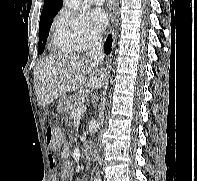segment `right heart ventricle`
I'll return each mask as SVG.
<instances>
[{"label":"right heart ventricle","mask_w":197,"mask_h":181,"mask_svg":"<svg viewBox=\"0 0 197 181\" xmlns=\"http://www.w3.org/2000/svg\"><path fill=\"white\" fill-rule=\"evenodd\" d=\"M52 49L58 53H72L73 49L70 46L67 38L54 26L52 37Z\"/></svg>","instance_id":"right-heart-ventricle-1"}]
</instances>
